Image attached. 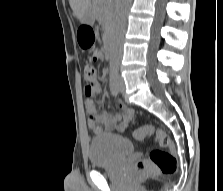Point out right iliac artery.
Wrapping results in <instances>:
<instances>
[{"label": "right iliac artery", "instance_id": "obj_1", "mask_svg": "<svg viewBox=\"0 0 223 191\" xmlns=\"http://www.w3.org/2000/svg\"><path fill=\"white\" fill-rule=\"evenodd\" d=\"M118 68L113 66L110 69V91L114 96H117L119 93V88H118Z\"/></svg>", "mask_w": 223, "mask_h": 191}]
</instances>
